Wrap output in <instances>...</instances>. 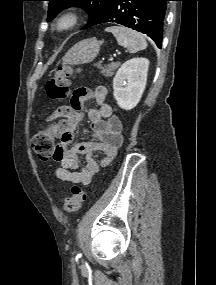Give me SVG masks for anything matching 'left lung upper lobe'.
<instances>
[{
	"mask_svg": "<svg viewBox=\"0 0 216 285\" xmlns=\"http://www.w3.org/2000/svg\"><path fill=\"white\" fill-rule=\"evenodd\" d=\"M49 1L48 20H52L55 15L71 6H78L89 13V22L82 29L89 28L97 22L106 12L113 0H47Z\"/></svg>",
	"mask_w": 216,
	"mask_h": 285,
	"instance_id": "5c2ea615",
	"label": "left lung upper lobe"
}]
</instances>
